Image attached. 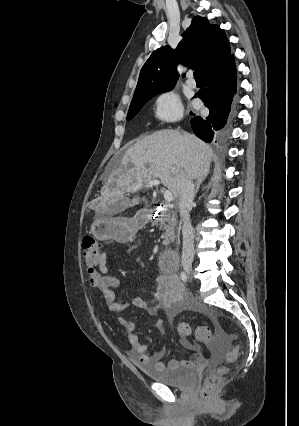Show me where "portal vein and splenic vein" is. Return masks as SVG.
<instances>
[{
    "mask_svg": "<svg viewBox=\"0 0 299 426\" xmlns=\"http://www.w3.org/2000/svg\"><path fill=\"white\" fill-rule=\"evenodd\" d=\"M143 185H146V186H158V185H160V181L157 180V179L150 180V181H148V182H146L144 184H139L137 188H140ZM163 195H164V199H165V201L167 203L172 202L173 195H172V193L169 190H164Z\"/></svg>",
    "mask_w": 299,
    "mask_h": 426,
    "instance_id": "portal-vein-and-splenic-vein-1",
    "label": "portal vein and splenic vein"
}]
</instances>
